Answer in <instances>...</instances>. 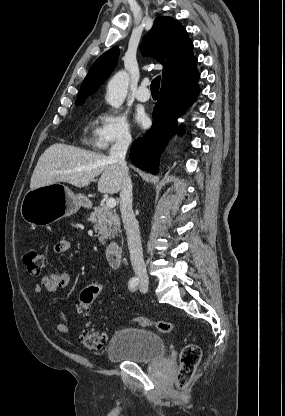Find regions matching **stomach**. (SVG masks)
<instances>
[{
    "instance_id": "0dacf381",
    "label": "stomach",
    "mask_w": 285,
    "mask_h": 416,
    "mask_svg": "<svg viewBox=\"0 0 285 416\" xmlns=\"http://www.w3.org/2000/svg\"><path fill=\"white\" fill-rule=\"evenodd\" d=\"M83 206L82 198L56 182L26 192L21 204V216L33 226H49L61 218L76 214Z\"/></svg>"
}]
</instances>
